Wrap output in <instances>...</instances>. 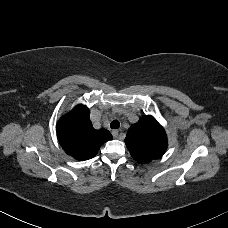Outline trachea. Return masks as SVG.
Instances as JSON below:
<instances>
[{
	"label": "trachea",
	"mask_w": 228,
	"mask_h": 228,
	"mask_svg": "<svg viewBox=\"0 0 228 228\" xmlns=\"http://www.w3.org/2000/svg\"><path fill=\"white\" fill-rule=\"evenodd\" d=\"M110 127L112 128V129H118L119 127H120V122L118 121V120H113L112 122H111V124H110Z\"/></svg>",
	"instance_id": "1"
}]
</instances>
